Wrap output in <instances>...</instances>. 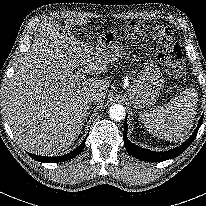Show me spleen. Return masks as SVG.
<instances>
[{"label":"spleen","instance_id":"spleen-1","mask_svg":"<svg viewBox=\"0 0 206 206\" xmlns=\"http://www.w3.org/2000/svg\"><path fill=\"white\" fill-rule=\"evenodd\" d=\"M197 91L186 88L168 104L140 114L147 130L170 141L183 140L194 124L198 101Z\"/></svg>","mask_w":206,"mask_h":206}]
</instances>
